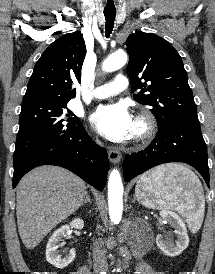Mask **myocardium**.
<instances>
[{
    "label": "myocardium",
    "mask_w": 215,
    "mask_h": 274,
    "mask_svg": "<svg viewBox=\"0 0 215 274\" xmlns=\"http://www.w3.org/2000/svg\"><path fill=\"white\" fill-rule=\"evenodd\" d=\"M137 131L133 134L136 143H145L152 139L157 131V123L154 116L148 111L140 112L135 119Z\"/></svg>",
    "instance_id": "f54148a6"
}]
</instances>
